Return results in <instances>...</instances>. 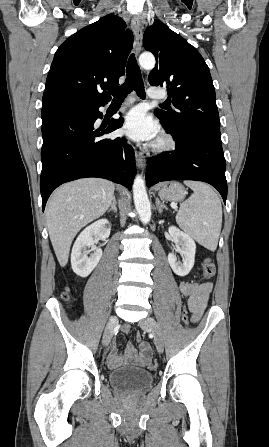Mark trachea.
I'll list each match as a JSON object with an SVG mask.
<instances>
[{
  "label": "trachea",
  "mask_w": 269,
  "mask_h": 447,
  "mask_svg": "<svg viewBox=\"0 0 269 447\" xmlns=\"http://www.w3.org/2000/svg\"><path fill=\"white\" fill-rule=\"evenodd\" d=\"M135 90L137 95L141 98H145L144 83L141 76V70L137 65L136 58L134 54L129 57L127 63V77L121 87L110 90L111 95H113L114 100H124V98ZM166 105V104H162Z\"/></svg>",
  "instance_id": "3493384b"
}]
</instances>
